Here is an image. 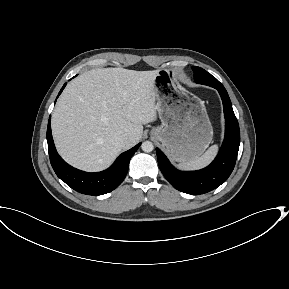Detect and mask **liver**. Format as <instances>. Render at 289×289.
I'll return each instance as SVG.
<instances>
[{"label": "liver", "mask_w": 289, "mask_h": 289, "mask_svg": "<svg viewBox=\"0 0 289 289\" xmlns=\"http://www.w3.org/2000/svg\"><path fill=\"white\" fill-rule=\"evenodd\" d=\"M159 70L103 68L72 80L52 115L59 154L71 165L99 171L136 145L143 124L156 120L154 80ZM126 136L120 145L118 138Z\"/></svg>", "instance_id": "1"}]
</instances>
